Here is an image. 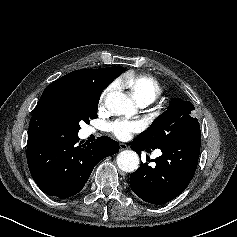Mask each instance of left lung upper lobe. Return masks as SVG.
Listing matches in <instances>:
<instances>
[{"mask_svg": "<svg viewBox=\"0 0 237 237\" xmlns=\"http://www.w3.org/2000/svg\"><path fill=\"white\" fill-rule=\"evenodd\" d=\"M190 101L174 99L169 110L160 115L153 124L136 139L150 149L169 146L178 142L189 130L199 124L193 116Z\"/></svg>", "mask_w": 237, "mask_h": 237, "instance_id": "obj_1", "label": "left lung upper lobe"}]
</instances>
